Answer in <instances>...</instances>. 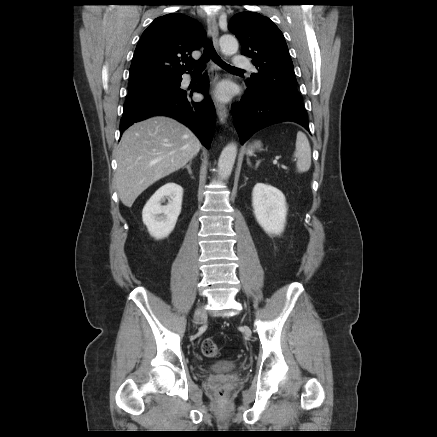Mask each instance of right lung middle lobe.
<instances>
[{
	"mask_svg": "<svg viewBox=\"0 0 437 437\" xmlns=\"http://www.w3.org/2000/svg\"><path fill=\"white\" fill-rule=\"evenodd\" d=\"M179 77H151L133 79L129 85L128 99L167 90L178 81Z\"/></svg>",
	"mask_w": 437,
	"mask_h": 437,
	"instance_id": "right-lung-middle-lobe-1",
	"label": "right lung middle lobe"
}]
</instances>
